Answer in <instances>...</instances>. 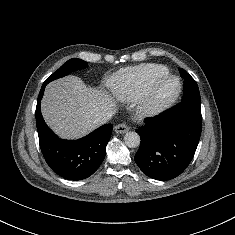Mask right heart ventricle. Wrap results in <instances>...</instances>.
<instances>
[{
    "label": "right heart ventricle",
    "mask_w": 235,
    "mask_h": 235,
    "mask_svg": "<svg viewBox=\"0 0 235 235\" xmlns=\"http://www.w3.org/2000/svg\"><path fill=\"white\" fill-rule=\"evenodd\" d=\"M168 74V69L159 64H140L121 70L111 82L114 95L123 102L138 100L149 84L157 77Z\"/></svg>",
    "instance_id": "right-heart-ventricle-1"
}]
</instances>
